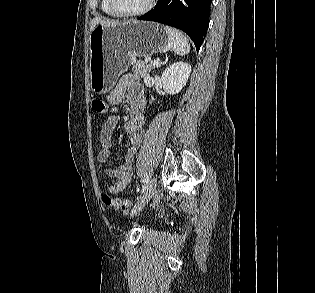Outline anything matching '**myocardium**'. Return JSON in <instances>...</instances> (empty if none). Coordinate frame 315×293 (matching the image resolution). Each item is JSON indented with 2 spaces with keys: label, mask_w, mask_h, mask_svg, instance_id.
<instances>
[{
  "label": "myocardium",
  "mask_w": 315,
  "mask_h": 293,
  "mask_svg": "<svg viewBox=\"0 0 315 293\" xmlns=\"http://www.w3.org/2000/svg\"><path fill=\"white\" fill-rule=\"evenodd\" d=\"M108 1H109L111 10L120 17H135V16L143 15L147 13L148 11H150L154 7L155 2H156V0H149L148 3L143 8L137 11H124L119 7L117 0H108Z\"/></svg>",
  "instance_id": "1"
}]
</instances>
